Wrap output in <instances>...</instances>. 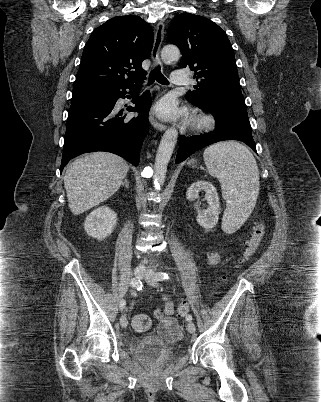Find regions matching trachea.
<instances>
[{
  "label": "trachea",
  "instance_id": "trachea-1",
  "mask_svg": "<svg viewBox=\"0 0 321 402\" xmlns=\"http://www.w3.org/2000/svg\"><path fill=\"white\" fill-rule=\"evenodd\" d=\"M157 81L158 83H160V84H163V85H168L169 84V81L166 79V77H164V75L161 73V70H160V66H157L156 68H154L152 71H151V73H150V75H149V83H152V82H154V81Z\"/></svg>",
  "mask_w": 321,
  "mask_h": 402
}]
</instances>
